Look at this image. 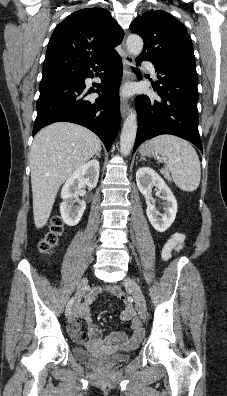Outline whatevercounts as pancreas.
Masks as SVG:
<instances>
[{
	"label": "pancreas",
	"mask_w": 227,
	"mask_h": 396,
	"mask_svg": "<svg viewBox=\"0 0 227 396\" xmlns=\"http://www.w3.org/2000/svg\"><path fill=\"white\" fill-rule=\"evenodd\" d=\"M165 177H166L167 180H169V181L171 180V178H170V176L168 174H165Z\"/></svg>",
	"instance_id": "cf45deb5"
}]
</instances>
